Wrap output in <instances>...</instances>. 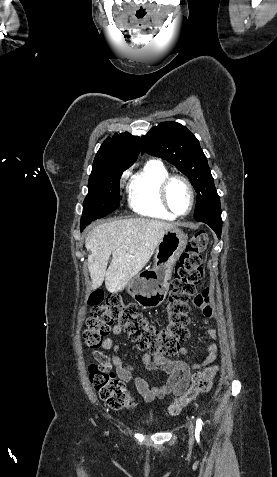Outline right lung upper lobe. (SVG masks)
<instances>
[{
    "mask_svg": "<svg viewBox=\"0 0 277 477\" xmlns=\"http://www.w3.org/2000/svg\"><path fill=\"white\" fill-rule=\"evenodd\" d=\"M139 154V137L128 132L108 137L97 152L92 173L114 167H130Z\"/></svg>",
    "mask_w": 277,
    "mask_h": 477,
    "instance_id": "right-lung-upper-lobe-1",
    "label": "right lung upper lobe"
}]
</instances>
